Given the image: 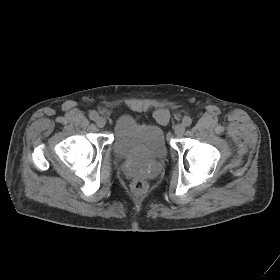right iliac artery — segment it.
<instances>
[{"label":"right iliac artery","mask_w":280,"mask_h":280,"mask_svg":"<svg viewBox=\"0 0 280 280\" xmlns=\"http://www.w3.org/2000/svg\"><path fill=\"white\" fill-rule=\"evenodd\" d=\"M98 117H99V115H98V113H97L96 111H92V112H90V114H89V118H90L91 120H96Z\"/></svg>","instance_id":"right-iliac-artery-1"}]
</instances>
